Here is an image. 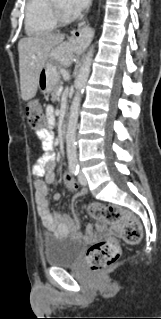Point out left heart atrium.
<instances>
[{
    "instance_id": "1",
    "label": "left heart atrium",
    "mask_w": 161,
    "mask_h": 319,
    "mask_svg": "<svg viewBox=\"0 0 161 319\" xmlns=\"http://www.w3.org/2000/svg\"><path fill=\"white\" fill-rule=\"evenodd\" d=\"M90 0H66V9L71 15H78L89 5Z\"/></svg>"
}]
</instances>
